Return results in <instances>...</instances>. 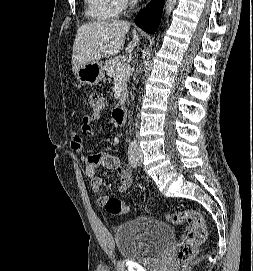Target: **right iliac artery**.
I'll list each match as a JSON object with an SVG mask.
<instances>
[{
  "label": "right iliac artery",
  "instance_id": "right-iliac-artery-1",
  "mask_svg": "<svg viewBox=\"0 0 253 271\" xmlns=\"http://www.w3.org/2000/svg\"><path fill=\"white\" fill-rule=\"evenodd\" d=\"M128 161L131 167L135 168L137 166V153L133 142L130 143L128 148Z\"/></svg>",
  "mask_w": 253,
  "mask_h": 271
}]
</instances>
